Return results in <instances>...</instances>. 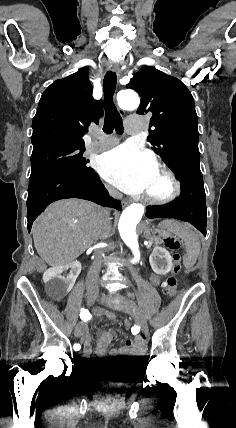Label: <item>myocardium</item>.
Listing matches in <instances>:
<instances>
[{"instance_id": "obj_1", "label": "myocardium", "mask_w": 236, "mask_h": 428, "mask_svg": "<svg viewBox=\"0 0 236 428\" xmlns=\"http://www.w3.org/2000/svg\"><path fill=\"white\" fill-rule=\"evenodd\" d=\"M155 171H161L170 183V191L164 196H153L143 193L142 200L155 206H166L176 201L183 192L182 181L177 177L173 169L166 163L159 162L155 165Z\"/></svg>"}]
</instances>
